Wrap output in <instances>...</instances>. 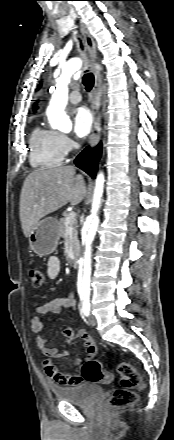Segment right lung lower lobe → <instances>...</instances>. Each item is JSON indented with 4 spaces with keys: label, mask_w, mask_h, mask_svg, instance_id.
Returning <instances> with one entry per match:
<instances>
[{
    "label": "right lung lower lobe",
    "mask_w": 174,
    "mask_h": 440,
    "mask_svg": "<svg viewBox=\"0 0 174 440\" xmlns=\"http://www.w3.org/2000/svg\"><path fill=\"white\" fill-rule=\"evenodd\" d=\"M102 144L100 143L94 149L87 147L75 159L74 163L77 167L84 170L92 178H95L98 169V161L101 157Z\"/></svg>",
    "instance_id": "1"
}]
</instances>
